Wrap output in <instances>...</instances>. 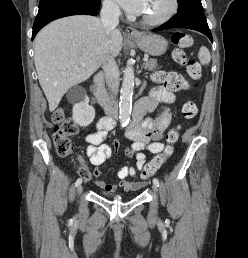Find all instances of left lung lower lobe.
Wrapping results in <instances>:
<instances>
[{"label":"left lung lower lobe","mask_w":248,"mask_h":258,"mask_svg":"<svg viewBox=\"0 0 248 258\" xmlns=\"http://www.w3.org/2000/svg\"><path fill=\"white\" fill-rule=\"evenodd\" d=\"M177 27L199 31L205 34L211 40V42H213L212 34L208 27L206 17L203 11H195L188 15H175L169 21H167L160 27L153 29L152 31H161Z\"/></svg>","instance_id":"0a47b994"}]
</instances>
